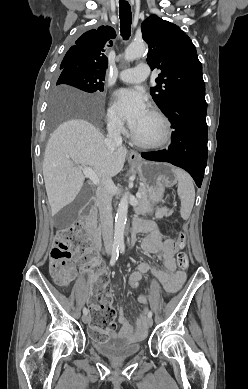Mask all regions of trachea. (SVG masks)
I'll use <instances>...</instances> for the list:
<instances>
[{"mask_svg": "<svg viewBox=\"0 0 248 389\" xmlns=\"http://www.w3.org/2000/svg\"><path fill=\"white\" fill-rule=\"evenodd\" d=\"M120 32L123 39L130 37L132 13L131 7L127 1H119Z\"/></svg>", "mask_w": 248, "mask_h": 389, "instance_id": "1", "label": "trachea"}]
</instances>
